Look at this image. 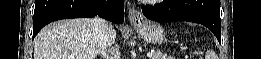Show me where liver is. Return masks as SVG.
<instances>
[{"instance_id": "6515ba94", "label": "liver", "mask_w": 261, "mask_h": 59, "mask_svg": "<svg viewBox=\"0 0 261 59\" xmlns=\"http://www.w3.org/2000/svg\"><path fill=\"white\" fill-rule=\"evenodd\" d=\"M91 24V19L79 18L46 26L36 36L34 59H95L101 49ZM115 38L116 31L110 25L108 46Z\"/></svg>"}]
</instances>
